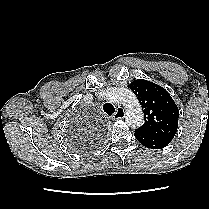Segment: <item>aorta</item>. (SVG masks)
Returning a JSON list of instances; mask_svg holds the SVG:
<instances>
[{
    "instance_id": "aorta-1",
    "label": "aorta",
    "mask_w": 209,
    "mask_h": 209,
    "mask_svg": "<svg viewBox=\"0 0 209 209\" xmlns=\"http://www.w3.org/2000/svg\"><path fill=\"white\" fill-rule=\"evenodd\" d=\"M108 100L122 104L126 108V122L132 129H137L144 122L142 107L135 94L127 88H113L106 93Z\"/></svg>"
}]
</instances>
